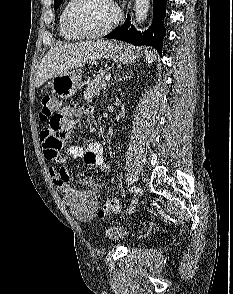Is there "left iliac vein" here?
Segmentation results:
<instances>
[{"label": "left iliac vein", "instance_id": "left-iliac-vein-1", "mask_svg": "<svg viewBox=\"0 0 233 294\" xmlns=\"http://www.w3.org/2000/svg\"><path fill=\"white\" fill-rule=\"evenodd\" d=\"M140 201L139 197H133L132 201L130 202V207H128V212H135V209H137V202Z\"/></svg>", "mask_w": 233, "mask_h": 294}]
</instances>
